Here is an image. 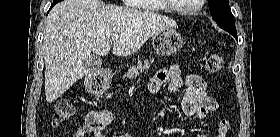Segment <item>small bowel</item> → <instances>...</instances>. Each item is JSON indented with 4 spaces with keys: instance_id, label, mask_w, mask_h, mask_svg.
Listing matches in <instances>:
<instances>
[{
    "instance_id": "c3829d8e",
    "label": "small bowel",
    "mask_w": 280,
    "mask_h": 137,
    "mask_svg": "<svg viewBox=\"0 0 280 137\" xmlns=\"http://www.w3.org/2000/svg\"><path fill=\"white\" fill-rule=\"evenodd\" d=\"M167 82L169 83V93L185 88L181 105L186 116L205 120L219 112L220 105L207 94V84L202 76L194 73L183 75L180 66L174 64L169 68L160 69L156 73L149 82V90L153 93H158ZM113 119L114 114L110 111H92L86 116L85 124L77 129L73 137H86L89 133H93L96 137H103V129ZM226 123L230 124L225 117H221L218 121L219 125Z\"/></svg>"
}]
</instances>
